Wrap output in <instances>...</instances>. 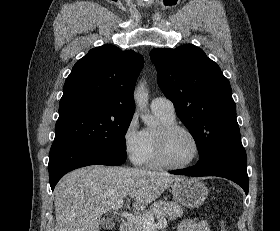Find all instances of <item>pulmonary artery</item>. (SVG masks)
Segmentation results:
<instances>
[{
  "label": "pulmonary artery",
  "instance_id": "pulmonary-artery-1",
  "mask_svg": "<svg viewBox=\"0 0 280 231\" xmlns=\"http://www.w3.org/2000/svg\"><path fill=\"white\" fill-rule=\"evenodd\" d=\"M153 112L168 117H175V107L171 100L165 97H157L151 102Z\"/></svg>",
  "mask_w": 280,
  "mask_h": 231
}]
</instances>
